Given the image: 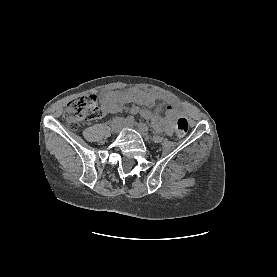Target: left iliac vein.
<instances>
[{"instance_id": "4c4485c4", "label": "left iliac vein", "mask_w": 277, "mask_h": 277, "mask_svg": "<svg viewBox=\"0 0 277 277\" xmlns=\"http://www.w3.org/2000/svg\"><path fill=\"white\" fill-rule=\"evenodd\" d=\"M127 127H130V128H134V125L131 124V123H126L125 124ZM140 134L144 137V139H147V136L144 132H142L141 130H139Z\"/></svg>"}]
</instances>
